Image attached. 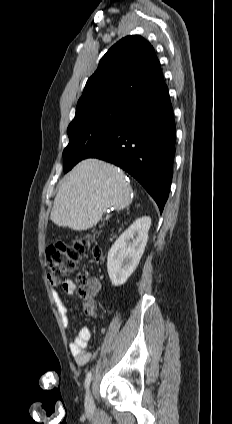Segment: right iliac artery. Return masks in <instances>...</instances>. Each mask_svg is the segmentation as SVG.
Here are the masks:
<instances>
[{
	"label": "right iliac artery",
	"mask_w": 232,
	"mask_h": 424,
	"mask_svg": "<svg viewBox=\"0 0 232 424\" xmlns=\"http://www.w3.org/2000/svg\"><path fill=\"white\" fill-rule=\"evenodd\" d=\"M92 373L91 371L87 374L85 379V388L88 389L91 382Z\"/></svg>",
	"instance_id": "1"
}]
</instances>
